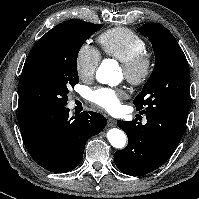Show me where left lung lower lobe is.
<instances>
[{"label":"left lung lower lobe","mask_w":199,"mask_h":199,"mask_svg":"<svg viewBox=\"0 0 199 199\" xmlns=\"http://www.w3.org/2000/svg\"><path fill=\"white\" fill-rule=\"evenodd\" d=\"M189 110L158 105L146 113L147 123L120 121L128 137L126 148L114 153L117 168L133 176L146 175L161 167L176 150L186 127Z\"/></svg>","instance_id":"left-lung-lower-lobe-1"}]
</instances>
